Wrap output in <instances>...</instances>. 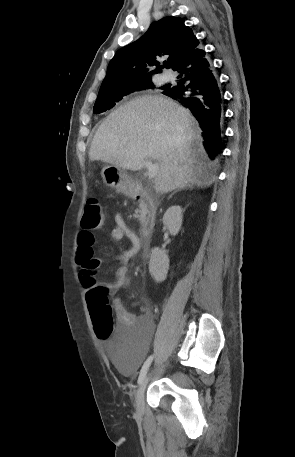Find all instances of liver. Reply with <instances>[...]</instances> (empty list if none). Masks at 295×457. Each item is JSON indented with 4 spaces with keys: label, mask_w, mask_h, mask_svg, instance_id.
I'll return each instance as SVG.
<instances>
[{
    "label": "liver",
    "mask_w": 295,
    "mask_h": 457,
    "mask_svg": "<svg viewBox=\"0 0 295 457\" xmlns=\"http://www.w3.org/2000/svg\"><path fill=\"white\" fill-rule=\"evenodd\" d=\"M89 158L131 171L155 160L160 168L154 187L162 194L213 182L196 119L163 96L137 97L113 111L98 128Z\"/></svg>",
    "instance_id": "obj_1"
}]
</instances>
